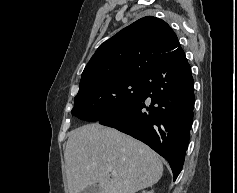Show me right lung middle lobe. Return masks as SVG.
<instances>
[{"label": "right lung middle lobe", "mask_w": 237, "mask_h": 193, "mask_svg": "<svg viewBox=\"0 0 237 193\" xmlns=\"http://www.w3.org/2000/svg\"><path fill=\"white\" fill-rule=\"evenodd\" d=\"M144 77L104 80L79 89L72 115L97 121L131 103L140 93Z\"/></svg>", "instance_id": "1"}]
</instances>
